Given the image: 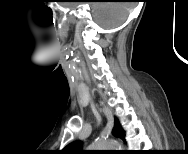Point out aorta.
<instances>
[{"mask_svg": "<svg viewBox=\"0 0 188 154\" xmlns=\"http://www.w3.org/2000/svg\"><path fill=\"white\" fill-rule=\"evenodd\" d=\"M89 148L91 150H120L121 145L115 140L96 139Z\"/></svg>", "mask_w": 188, "mask_h": 154, "instance_id": "1", "label": "aorta"}]
</instances>
